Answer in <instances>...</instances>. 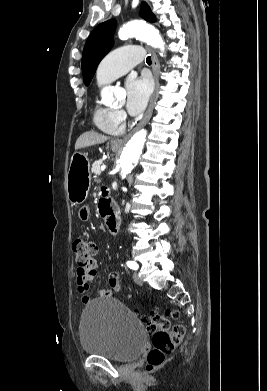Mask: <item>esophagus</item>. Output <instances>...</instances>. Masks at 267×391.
<instances>
[{"label":"esophagus","mask_w":267,"mask_h":391,"mask_svg":"<svg viewBox=\"0 0 267 391\" xmlns=\"http://www.w3.org/2000/svg\"><path fill=\"white\" fill-rule=\"evenodd\" d=\"M149 50H150L151 56H152V70H153L154 79H155V92H156V90H157V88L159 86L160 65H159V61H158V58H157V55L155 54V52L153 50H151V49H149ZM154 101H155V93L153 94V96L151 98L149 107H148V109L146 111V114H145L144 118L140 121V123L134 128V130L131 133H129L127 136H125L122 139L115 140L113 142V144L115 146H123L126 143V141L130 138V136L135 131H137L138 129H140L144 125H146V123L149 121V119H150V117L152 115Z\"/></svg>","instance_id":"esophagus-1"}]
</instances>
